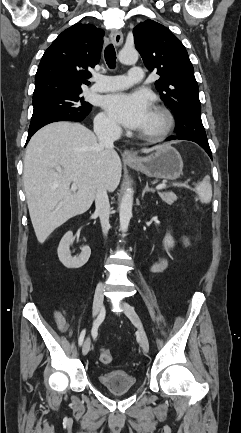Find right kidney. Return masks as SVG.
Returning <instances> with one entry per match:
<instances>
[{
	"label": "right kidney",
	"mask_w": 241,
	"mask_h": 433,
	"mask_svg": "<svg viewBox=\"0 0 241 433\" xmlns=\"http://www.w3.org/2000/svg\"><path fill=\"white\" fill-rule=\"evenodd\" d=\"M74 237L71 231L67 232L61 239L57 253L60 262L70 269H77L87 263L91 255V249L89 246L82 247V251L79 256L73 257L70 251V245L73 243Z\"/></svg>",
	"instance_id": "right-kidney-1"
}]
</instances>
